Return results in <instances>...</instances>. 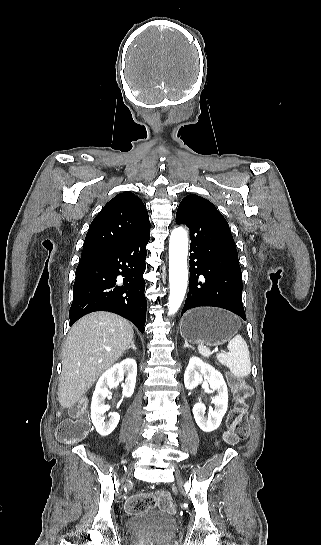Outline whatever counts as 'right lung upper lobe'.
Returning <instances> with one entry per match:
<instances>
[{
  "mask_svg": "<svg viewBox=\"0 0 321 545\" xmlns=\"http://www.w3.org/2000/svg\"><path fill=\"white\" fill-rule=\"evenodd\" d=\"M150 231L145 205L131 192L111 199L92 221L81 256L116 248Z\"/></svg>",
  "mask_w": 321,
  "mask_h": 545,
  "instance_id": "1",
  "label": "right lung upper lobe"
}]
</instances>
